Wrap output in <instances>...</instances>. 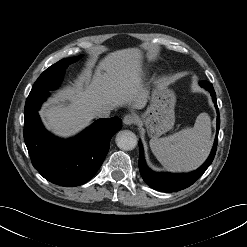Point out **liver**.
<instances>
[{
	"label": "liver",
	"instance_id": "6515ba94",
	"mask_svg": "<svg viewBox=\"0 0 247 247\" xmlns=\"http://www.w3.org/2000/svg\"><path fill=\"white\" fill-rule=\"evenodd\" d=\"M142 53L137 48L107 55L94 76L83 78L74 87L60 90L40 111L46 127L58 136L68 137L87 127L100 108L128 105L142 109L148 94L141 77Z\"/></svg>",
	"mask_w": 247,
	"mask_h": 247
}]
</instances>
